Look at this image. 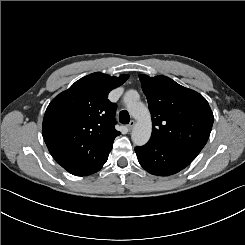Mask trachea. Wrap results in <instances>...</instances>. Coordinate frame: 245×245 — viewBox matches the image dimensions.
Segmentation results:
<instances>
[{
  "label": "trachea",
  "instance_id": "3493384b",
  "mask_svg": "<svg viewBox=\"0 0 245 245\" xmlns=\"http://www.w3.org/2000/svg\"><path fill=\"white\" fill-rule=\"evenodd\" d=\"M119 121L122 124H128L130 122V116H129V113L126 110H122L119 113Z\"/></svg>",
  "mask_w": 245,
  "mask_h": 245
}]
</instances>
